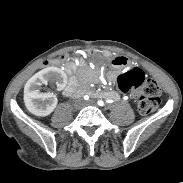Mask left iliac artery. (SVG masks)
Segmentation results:
<instances>
[{"instance_id":"obj_1","label":"left iliac artery","mask_w":183,"mask_h":183,"mask_svg":"<svg viewBox=\"0 0 183 183\" xmlns=\"http://www.w3.org/2000/svg\"><path fill=\"white\" fill-rule=\"evenodd\" d=\"M98 105L104 106V102H103L102 100H99V101H98Z\"/></svg>"}]
</instances>
